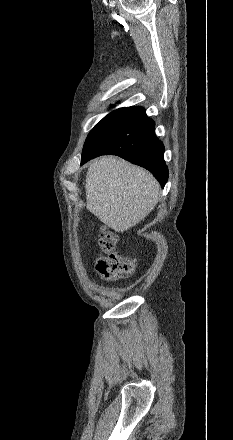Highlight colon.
Segmentation results:
<instances>
[{
    "label": "colon",
    "instance_id": "5ec220e1",
    "mask_svg": "<svg viewBox=\"0 0 233 440\" xmlns=\"http://www.w3.org/2000/svg\"><path fill=\"white\" fill-rule=\"evenodd\" d=\"M118 238L107 227L100 229L98 246L100 254L96 259L97 272L107 280L130 276L134 271V262L123 257L117 251Z\"/></svg>",
    "mask_w": 233,
    "mask_h": 440
}]
</instances>
